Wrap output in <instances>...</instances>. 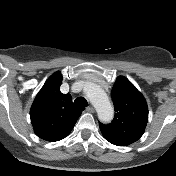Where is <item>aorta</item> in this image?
Wrapping results in <instances>:
<instances>
[{
	"label": "aorta",
	"instance_id": "obj_1",
	"mask_svg": "<svg viewBox=\"0 0 176 176\" xmlns=\"http://www.w3.org/2000/svg\"><path fill=\"white\" fill-rule=\"evenodd\" d=\"M86 96L95 107L98 118L102 122H110L114 116V109L105 91L94 83L85 85Z\"/></svg>",
	"mask_w": 176,
	"mask_h": 176
}]
</instances>
